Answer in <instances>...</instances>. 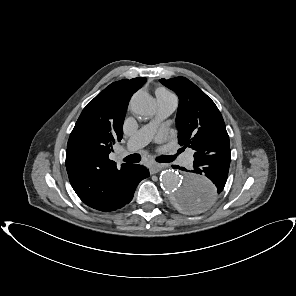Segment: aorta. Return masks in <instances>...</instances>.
I'll use <instances>...</instances> for the list:
<instances>
[{
	"label": "aorta",
	"mask_w": 296,
	"mask_h": 296,
	"mask_svg": "<svg viewBox=\"0 0 296 296\" xmlns=\"http://www.w3.org/2000/svg\"><path fill=\"white\" fill-rule=\"evenodd\" d=\"M131 110L146 117L152 111V98L145 91L136 92L130 101ZM160 184L167 201L184 212H206L218 200V187L208 176L188 170H165L160 176Z\"/></svg>",
	"instance_id": "762f6f07"
}]
</instances>
